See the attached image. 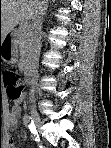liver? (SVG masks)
<instances>
[{
    "instance_id": "liver-1",
    "label": "liver",
    "mask_w": 111,
    "mask_h": 148,
    "mask_svg": "<svg viewBox=\"0 0 111 148\" xmlns=\"http://www.w3.org/2000/svg\"><path fill=\"white\" fill-rule=\"evenodd\" d=\"M40 0H1L0 16L1 31L0 37L3 41L10 31L20 22L29 21L36 10Z\"/></svg>"
}]
</instances>
